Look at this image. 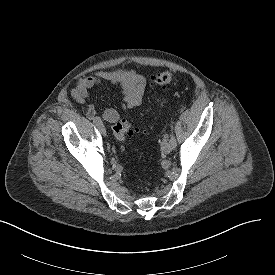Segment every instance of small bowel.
Masks as SVG:
<instances>
[{
	"label": "small bowel",
	"instance_id": "small-bowel-1",
	"mask_svg": "<svg viewBox=\"0 0 275 275\" xmlns=\"http://www.w3.org/2000/svg\"><path fill=\"white\" fill-rule=\"evenodd\" d=\"M101 84L121 87L123 110L134 109L142 104L146 80L141 74L129 69L99 71L80 78L75 87L71 90L73 98L85 107L90 117L99 115L103 120L109 123H115L120 118L119 112L116 109L107 108L99 112L95 105L88 102L90 90Z\"/></svg>",
	"mask_w": 275,
	"mask_h": 275
}]
</instances>
